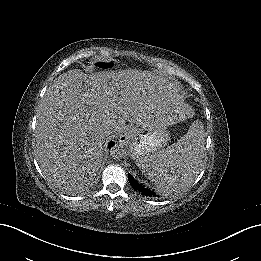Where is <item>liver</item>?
<instances>
[{
	"instance_id": "1",
	"label": "liver",
	"mask_w": 261,
	"mask_h": 261,
	"mask_svg": "<svg viewBox=\"0 0 261 261\" xmlns=\"http://www.w3.org/2000/svg\"><path fill=\"white\" fill-rule=\"evenodd\" d=\"M130 93L110 72L77 69L52 85L36 123L35 155L43 172L57 182L82 179L99 164L106 131L116 132L125 120L140 125L162 117L163 101L140 102Z\"/></svg>"
}]
</instances>
